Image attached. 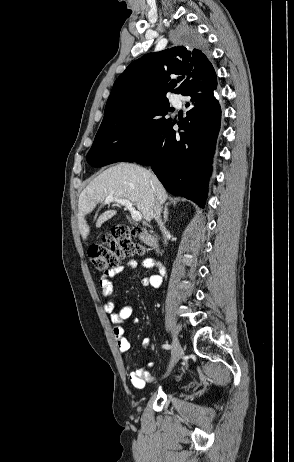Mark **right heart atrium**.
Segmentation results:
<instances>
[{
	"label": "right heart atrium",
	"mask_w": 294,
	"mask_h": 462,
	"mask_svg": "<svg viewBox=\"0 0 294 462\" xmlns=\"http://www.w3.org/2000/svg\"><path fill=\"white\" fill-rule=\"evenodd\" d=\"M141 127H142L141 122H137L136 125H135V130L139 131L141 129Z\"/></svg>",
	"instance_id": "1"
}]
</instances>
